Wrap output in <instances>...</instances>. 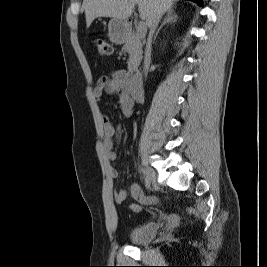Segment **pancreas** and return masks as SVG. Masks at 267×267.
<instances>
[{
	"mask_svg": "<svg viewBox=\"0 0 267 267\" xmlns=\"http://www.w3.org/2000/svg\"><path fill=\"white\" fill-rule=\"evenodd\" d=\"M122 51L129 54L128 72L137 71L142 59V43L137 33H129L124 41Z\"/></svg>",
	"mask_w": 267,
	"mask_h": 267,
	"instance_id": "pancreas-1",
	"label": "pancreas"
}]
</instances>
